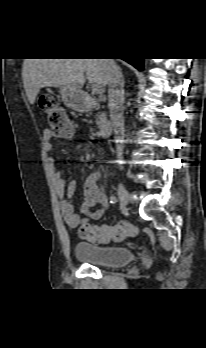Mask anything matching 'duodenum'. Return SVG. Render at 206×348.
Here are the masks:
<instances>
[{
    "label": "duodenum",
    "instance_id": "obj_1",
    "mask_svg": "<svg viewBox=\"0 0 206 348\" xmlns=\"http://www.w3.org/2000/svg\"><path fill=\"white\" fill-rule=\"evenodd\" d=\"M97 100L94 98L88 97L86 98V108L92 109L97 106ZM113 132L112 123L106 119L105 117H101V125H100V134L104 137L110 136Z\"/></svg>",
    "mask_w": 206,
    "mask_h": 348
}]
</instances>
